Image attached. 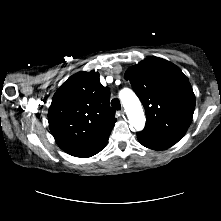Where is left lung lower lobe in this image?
I'll return each mask as SVG.
<instances>
[{
	"label": "left lung lower lobe",
	"instance_id": "1",
	"mask_svg": "<svg viewBox=\"0 0 221 221\" xmlns=\"http://www.w3.org/2000/svg\"><path fill=\"white\" fill-rule=\"evenodd\" d=\"M183 136L145 128L138 133L137 139L143 146L149 149L165 150L176 144Z\"/></svg>",
	"mask_w": 221,
	"mask_h": 221
}]
</instances>
